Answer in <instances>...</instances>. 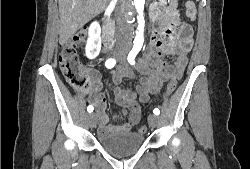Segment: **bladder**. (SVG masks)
<instances>
[{
  "instance_id": "obj_1",
  "label": "bladder",
  "mask_w": 250,
  "mask_h": 169,
  "mask_svg": "<svg viewBox=\"0 0 250 169\" xmlns=\"http://www.w3.org/2000/svg\"><path fill=\"white\" fill-rule=\"evenodd\" d=\"M97 142L112 156L126 158L145 144V135L125 132L98 133Z\"/></svg>"
}]
</instances>
